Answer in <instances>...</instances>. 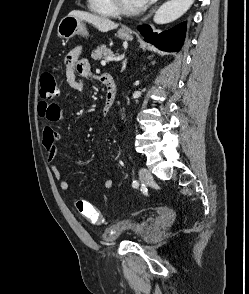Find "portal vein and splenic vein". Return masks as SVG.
Segmentation results:
<instances>
[{
	"label": "portal vein and splenic vein",
	"mask_w": 249,
	"mask_h": 294,
	"mask_svg": "<svg viewBox=\"0 0 249 294\" xmlns=\"http://www.w3.org/2000/svg\"><path fill=\"white\" fill-rule=\"evenodd\" d=\"M112 60H113L112 57H106L105 60H102V61H101V65H102V66H105V65H106V62H108V61H112Z\"/></svg>",
	"instance_id": "obj_1"
}]
</instances>
